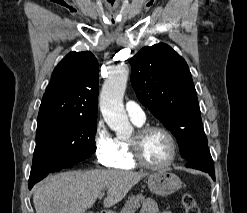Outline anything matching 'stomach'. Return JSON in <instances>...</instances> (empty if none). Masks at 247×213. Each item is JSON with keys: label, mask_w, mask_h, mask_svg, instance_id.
<instances>
[{"label": "stomach", "mask_w": 247, "mask_h": 213, "mask_svg": "<svg viewBox=\"0 0 247 213\" xmlns=\"http://www.w3.org/2000/svg\"><path fill=\"white\" fill-rule=\"evenodd\" d=\"M147 183L149 190L159 196H169L182 185L179 177L167 170L153 172L148 176Z\"/></svg>", "instance_id": "obj_1"}]
</instances>
